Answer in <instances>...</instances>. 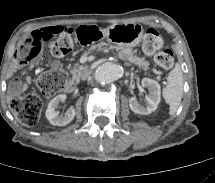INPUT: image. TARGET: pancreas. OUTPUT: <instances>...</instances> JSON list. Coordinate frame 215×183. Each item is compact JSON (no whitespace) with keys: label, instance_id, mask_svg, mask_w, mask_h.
I'll return each instance as SVG.
<instances>
[{"label":"pancreas","instance_id":"1","mask_svg":"<svg viewBox=\"0 0 215 183\" xmlns=\"http://www.w3.org/2000/svg\"><path fill=\"white\" fill-rule=\"evenodd\" d=\"M103 47L111 49V50L115 49V50L119 51L118 56L120 59H122L124 61H129L130 63L137 65L139 68H142L145 71L149 69V67H148L149 62L145 61L144 58L138 57L133 52V50L128 47H119V46H115L113 44L100 42L98 44L92 45L89 48V51L95 50V49L101 50ZM86 69H87V66H83V65L76 63L73 66V68L70 70V73L72 74L73 78L78 79L81 76L82 72Z\"/></svg>","mask_w":215,"mask_h":183}]
</instances>
